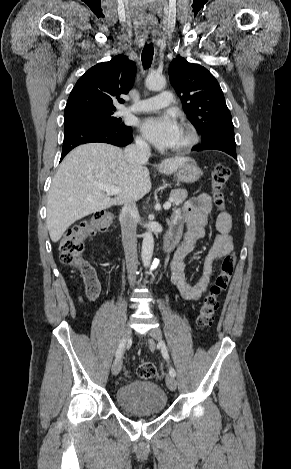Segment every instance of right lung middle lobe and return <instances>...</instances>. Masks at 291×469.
Wrapping results in <instances>:
<instances>
[{"label": "right lung middle lobe", "instance_id": "obj_1", "mask_svg": "<svg viewBox=\"0 0 291 469\" xmlns=\"http://www.w3.org/2000/svg\"><path fill=\"white\" fill-rule=\"evenodd\" d=\"M116 109H92L64 115V127L79 123H89L102 126H125L121 119L113 116Z\"/></svg>", "mask_w": 291, "mask_h": 469}]
</instances>
